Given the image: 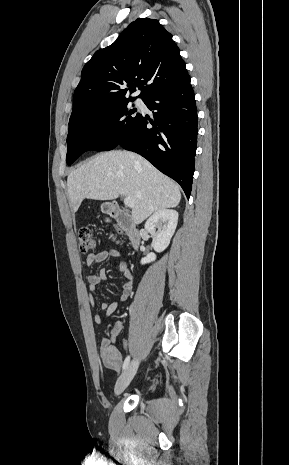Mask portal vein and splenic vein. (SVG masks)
<instances>
[{"instance_id": "portal-vein-and-splenic-vein-1", "label": "portal vein and splenic vein", "mask_w": 289, "mask_h": 465, "mask_svg": "<svg viewBox=\"0 0 289 465\" xmlns=\"http://www.w3.org/2000/svg\"><path fill=\"white\" fill-rule=\"evenodd\" d=\"M124 205L127 206V207L132 208V207L134 206V201H133V199L130 198V197H126V198L124 199Z\"/></svg>"}]
</instances>
